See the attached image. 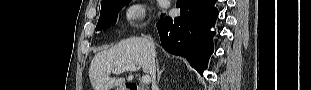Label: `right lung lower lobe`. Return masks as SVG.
<instances>
[{"instance_id":"right-lung-lower-lobe-1","label":"right lung lower lobe","mask_w":311,"mask_h":90,"mask_svg":"<svg viewBox=\"0 0 311 90\" xmlns=\"http://www.w3.org/2000/svg\"><path fill=\"white\" fill-rule=\"evenodd\" d=\"M216 0H179L176 7L181 14L174 19L161 17L157 28L163 48L185 57L199 73L207 68L213 53V35L210 28L218 16Z\"/></svg>"}]
</instances>
